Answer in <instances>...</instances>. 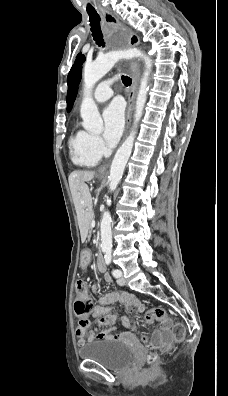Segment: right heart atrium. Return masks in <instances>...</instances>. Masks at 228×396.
<instances>
[{"instance_id": "1", "label": "right heart atrium", "mask_w": 228, "mask_h": 396, "mask_svg": "<svg viewBox=\"0 0 228 396\" xmlns=\"http://www.w3.org/2000/svg\"><path fill=\"white\" fill-rule=\"evenodd\" d=\"M90 145L94 152L101 156L105 151L102 139L97 135H90Z\"/></svg>"}]
</instances>
